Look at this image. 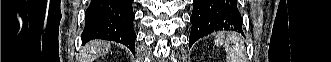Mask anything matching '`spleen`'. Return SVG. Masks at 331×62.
Here are the masks:
<instances>
[{
  "label": "spleen",
  "mask_w": 331,
  "mask_h": 62,
  "mask_svg": "<svg viewBox=\"0 0 331 62\" xmlns=\"http://www.w3.org/2000/svg\"><path fill=\"white\" fill-rule=\"evenodd\" d=\"M215 43L217 45L224 44L228 62H246L244 41L238 34L229 33L225 38L222 33H219L215 37Z\"/></svg>",
  "instance_id": "1"
}]
</instances>
